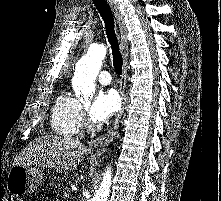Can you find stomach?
Returning a JSON list of instances; mask_svg holds the SVG:
<instances>
[{"label": "stomach", "mask_w": 221, "mask_h": 201, "mask_svg": "<svg viewBox=\"0 0 221 201\" xmlns=\"http://www.w3.org/2000/svg\"><path fill=\"white\" fill-rule=\"evenodd\" d=\"M41 171L32 165H13L6 181V188L12 195L20 196L34 192L42 183Z\"/></svg>", "instance_id": "obj_1"}]
</instances>
